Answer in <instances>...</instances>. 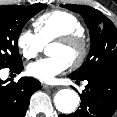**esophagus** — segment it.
I'll return each instance as SVG.
<instances>
[{
    "label": "esophagus",
    "instance_id": "1",
    "mask_svg": "<svg viewBox=\"0 0 117 117\" xmlns=\"http://www.w3.org/2000/svg\"><path fill=\"white\" fill-rule=\"evenodd\" d=\"M42 87H43L44 89H53V88H54L53 86L47 85V84H42Z\"/></svg>",
    "mask_w": 117,
    "mask_h": 117
}]
</instances>
